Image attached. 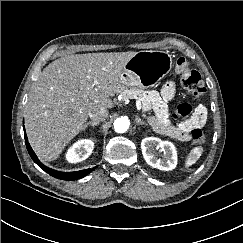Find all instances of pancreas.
Masks as SVG:
<instances>
[{
    "mask_svg": "<svg viewBox=\"0 0 243 243\" xmlns=\"http://www.w3.org/2000/svg\"><path fill=\"white\" fill-rule=\"evenodd\" d=\"M121 96L123 101L126 99H139L143 103H146V93L142 89H139L137 87H132L130 89H124L121 92ZM143 113L145 112V109L143 108Z\"/></svg>",
    "mask_w": 243,
    "mask_h": 243,
    "instance_id": "obj_1",
    "label": "pancreas"
}]
</instances>
